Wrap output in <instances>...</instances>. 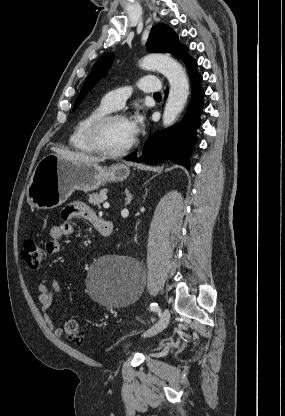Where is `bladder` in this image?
I'll return each mask as SVG.
<instances>
[{
    "label": "bladder",
    "mask_w": 285,
    "mask_h": 416,
    "mask_svg": "<svg viewBox=\"0 0 285 416\" xmlns=\"http://www.w3.org/2000/svg\"><path fill=\"white\" fill-rule=\"evenodd\" d=\"M131 342H132L131 340H128V341H127V344H129V343H131Z\"/></svg>",
    "instance_id": "obj_1"
}]
</instances>
